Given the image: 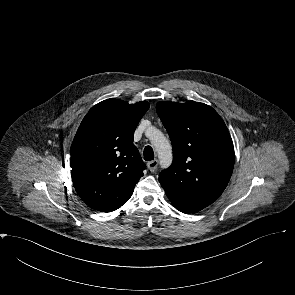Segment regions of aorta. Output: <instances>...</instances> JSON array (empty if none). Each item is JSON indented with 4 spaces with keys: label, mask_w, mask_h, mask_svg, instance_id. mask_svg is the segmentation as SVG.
I'll use <instances>...</instances> for the list:
<instances>
[{
    "label": "aorta",
    "mask_w": 295,
    "mask_h": 295,
    "mask_svg": "<svg viewBox=\"0 0 295 295\" xmlns=\"http://www.w3.org/2000/svg\"><path fill=\"white\" fill-rule=\"evenodd\" d=\"M147 136L158 153L161 166H169L172 161V148L168 139L155 127L148 128Z\"/></svg>",
    "instance_id": "762f6f07"
}]
</instances>
